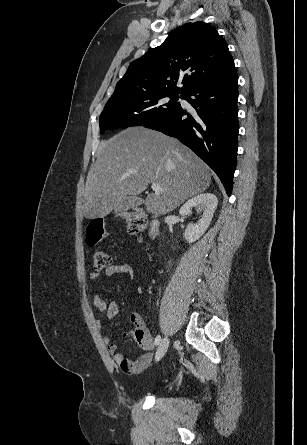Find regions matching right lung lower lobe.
<instances>
[{"label": "right lung lower lobe", "mask_w": 307, "mask_h": 445, "mask_svg": "<svg viewBox=\"0 0 307 445\" xmlns=\"http://www.w3.org/2000/svg\"><path fill=\"white\" fill-rule=\"evenodd\" d=\"M238 75L234 64L185 95L196 110L189 114L181 105L166 116L144 125L180 140L218 175L228 196L236 167L238 125ZM188 118L184 119L183 116Z\"/></svg>", "instance_id": "1"}]
</instances>
